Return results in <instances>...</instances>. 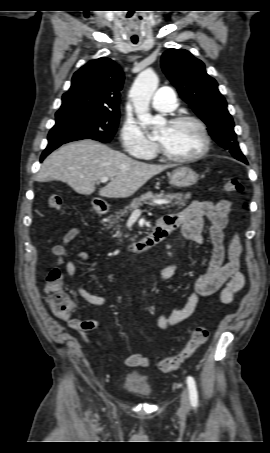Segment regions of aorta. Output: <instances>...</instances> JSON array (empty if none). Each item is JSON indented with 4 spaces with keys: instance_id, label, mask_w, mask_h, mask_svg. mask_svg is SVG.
I'll use <instances>...</instances> for the list:
<instances>
[{
    "instance_id": "762f6f07",
    "label": "aorta",
    "mask_w": 270,
    "mask_h": 453,
    "mask_svg": "<svg viewBox=\"0 0 270 453\" xmlns=\"http://www.w3.org/2000/svg\"><path fill=\"white\" fill-rule=\"evenodd\" d=\"M159 79L156 73L148 68L142 71L135 79L130 90L135 111L142 124L153 126V132H157L165 124L161 116H152L149 113V105L152 95L158 87Z\"/></svg>"
}]
</instances>
